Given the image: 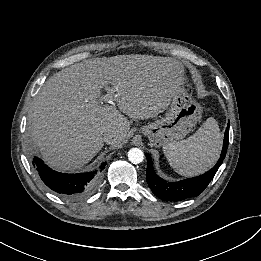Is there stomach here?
Wrapping results in <instances>:
<instances>
[{
    "label": "stomach",
    "instance_id": "obj_1",
    "mask_svg": "<svg viewBox=\"0 0 261 261\" xmlns=\"http://www.w3.org/2000/svg\"><path fill=\"white\" fill-rule=\"evenodd\" d=\"M201 115L202 107L181 86L173 94L166 116L143 126L140 132L148 137L152 146H164L183 139L200 120Z\"/></svg>",
    "mask_w": 261,
    "mask_h": 261
}]
</instances>
